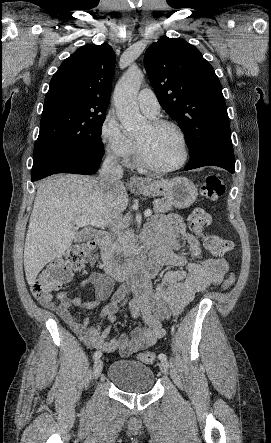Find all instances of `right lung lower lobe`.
I'll return each instance as SVG.
<instances>
[{"mask_svg":"<svg viewBox=\"0 0 271 443\" xmlns=\"http://www.w3.org/2000/svg\"><path fill=\"white\" fill-rule=\"evenodd\" d=\"M103 154L97 149L48 148L34 158L31 181L35 182L56 173L93 174L97 171Z\"/></svg>","mask_w":271,"mask_h":443,"instance_id":"98d812e1","label":"right lung lower lobe"}]
</instances>
